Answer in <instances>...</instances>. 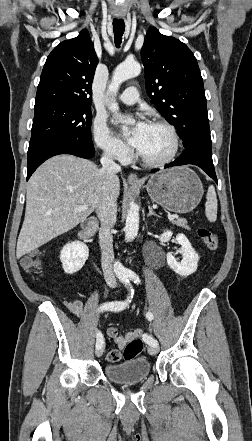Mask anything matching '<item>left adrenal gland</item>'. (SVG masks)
Instances as JSON below:
<instances>
[{"label": "left adrenal gland", "mask_w": 252, "mask_h": 441, "mask_svg": "<svg viewBox=\"0 0 252 441\" xmlns=\"http://www.w3.org/2000/svg\"><path fill=\"white\" fill-rule=\"evenodd\" d=\"M148 209H149V213H148V215H147V217H150V216H156V217H160L158 214H156L154 211H153V209H152V207L151 206H148Z\"/></svg>", "instance_id": "obj_1"}]
</instances>
